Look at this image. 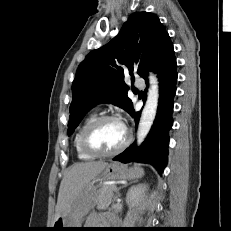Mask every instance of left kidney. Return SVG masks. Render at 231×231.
Returning <instances> with one entry per match:
<instances>
[{
    "mask_svg": "<svg viewBox=\"0 0 231 231\" xmlns=\"http://www.w3.org/2000/svg\"><path fill=\"white\" fill-rule=\"evenodd\" d=\"M147 187L145 184H139L131 187L126 195V202L129 206H133L136 204L141 198L144 197L145 192L147 191Z\"/></svg>",
    "mask_w": 231,
    "mask_h": 231,
    "instance_id": "5707ae66",
    "label": "left kidney"
}]
</instances>
